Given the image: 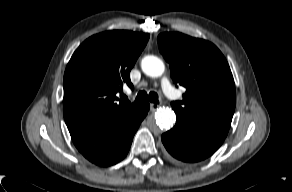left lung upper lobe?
<instances>
[{
  "label": "left lung upper lobe",
  "mask_w": 292,
  "mask_h": 192,
  "mask_svg": "<svg viewBox=\"0 0 292 192\" xmlns=\"http://www.w3.org/2000/svg\"><path fill=\"white\" fill-rule=\"evenodd\" d=\"M159 50L170 64L171 77L186 88L172 102L177 122L228 132L236 105L230 67L212 43L182 33H162Z\"/></svg>",
  "instance_id": "5c2ea615"
}]
</instances>
